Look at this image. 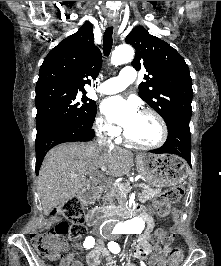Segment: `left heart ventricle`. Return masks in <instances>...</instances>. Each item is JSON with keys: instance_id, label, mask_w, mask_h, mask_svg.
<instances>
[{"instance_id": "b2bd125f", "label": "left heart ventricle", "mask_w": 221, "mask_h": 266, "mask_svg": "<svg viewBox=\"0 0 221 266\" xmlns=\"http://www.w3.org/2000/svg\"><path fill=\"white\" fill-rule=\"evenodd\" d=\"M126 131L133 140L144 144L156 141L160 132L156 121L151 116L142 113Z\"/></svg>"}]
</instances>
